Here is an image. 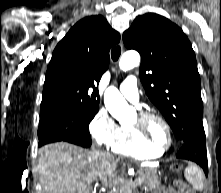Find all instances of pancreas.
Returning <instances> with one entry per match:
<instances>
[{"label":"pancreas","mask_w":221,"mask_h":193,"mask_svg":"<svg viewBox=\"0 0 221 193\" xmlns=\"http://www.w3.org/2000/svg\"><path fill=\"white\" fill-rule=\"evenodd\" d=\"M139 177L142 178L141 185L146 191L152 190L160 184V177L157 168H143L139 171ZM132 190H135V187H129V192L126 191L125 193H130Z\"/></svg>","instance_id":"pancreas-1"}]
</instances>
